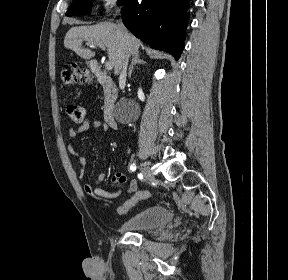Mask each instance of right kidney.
I'll return each instance as SVG.
<instances>
[{"label": "right kidney", "instance_id": "right-kidney-1", "mask_svg": "<svg viewBox=\"0 0 288 280\" xmlns=\"http://www.w3.org/2000/svg\"><path fill=\"white\" fill-rule=\"evenodd\" d=\"M138 98L141 100V101H144L145 100V96H144V93L142 91L141 88H139L138 90Z\"/></svg>", "mask_w": 288, "mask_h": 280}]
</instances>
